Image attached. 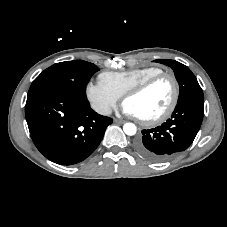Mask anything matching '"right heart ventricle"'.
Masks as SVG:
<instances>
[{"instance_id":"obj_1","label":"right heart ventricle","mask_w":227,"mask_h":227,"mask_svg":"<svg viewBox=\"0 0 227 227\" xmlns=\"http://www.w3.org/2000/svg\"><path fill=\"white\" fill-rule=\"evenodd\" d=\"M162 72L163 70L159 67L147 66L122 72H103L100 74L99 80L121 97L132 87Z\"/></svg>"}]
</instances>
